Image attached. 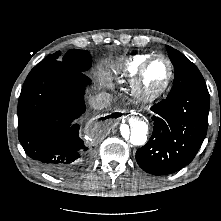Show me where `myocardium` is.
Returning a JSON list of instances; mask_svg holds the SVG:
<instances>
[{"mask_svg":"<svg viewBox=\"0 0 221 221\" xmlns=\"http://www.w3.org/2000/svg\"><path fill=\"white\" fill-rule=\"evenodd\" d=\"M157 59H163L167 62L169 66V75L164 83V85L155 91H147L143 86V79L145 76V73L149 66ZM174 80V65L172 61L165 55L156 54L151 57H149L140 67L137 74L133 77L131 82V89L134 94V96L141 102L149 103L154 102L161 97H163L171 88L172 83Z\"/></svg>","mask_w":221,"mask_h":221,"instance_id":"myocardium-1","label":"myocardium"}]
</instances>
